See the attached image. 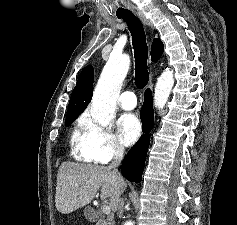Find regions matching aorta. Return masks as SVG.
<instances>
[{"label": "aorta", "instance_id": "1", "mask_svg": "<svg viewBox=\"0 0 237 225\" xmlns=\"http://www.w3.org/2000/svg\"><path fill=\"white\" fill-rule=\"evenodd\" d=\"M130 58L128 55H110L95 87L91 115L101 126H108L114 117L116 101L121 84L128 72ZM174 85L173 72L168 68L158 78L154 91V105L163 109ZM124 225H134L126 221Z\"/></svg>", "mask_w": 237, "mask_h": 225}]
</instances>
